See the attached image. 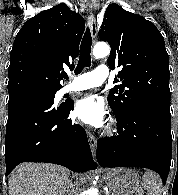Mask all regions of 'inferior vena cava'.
Wrapping results in <instances>:
<instances>
[{
  "mask_svg": "<svg viewBox=\"0 0 178 195\" xmlns=\"http://www.w3.org/2000/svg\"><path fill=\"white\" fill-rule=\"evenodd\" d=\"M67 194L68 195H79V194H77V188L72 183H71L70 187L67 189Z\"/></svg>",
  "mask_w": 178,
  "mask_h": 195,
  "instance_id": "inferior-vena-cava-1",
  "label": "inferior vena cava"
}]
</instances>
